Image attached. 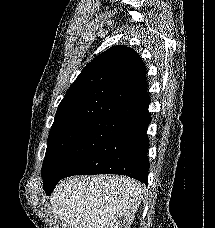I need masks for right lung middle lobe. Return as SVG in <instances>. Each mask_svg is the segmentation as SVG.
I'll return each mask as SVG.
<instances>
[{
	"instance_id": "dd1d6c3e",
	"label": "right lung middle lobe",
	"mask_w": 215,
	"mask_h": 228,
	"mask_svg": "<svg viewBox=\"0 0 215 228\" xmlns=\"http://www.w3.org/2000/svg\"><path fill=\"white\" fill-rule=\"evenodd\" d=\"M126 126L123 121L96 118L49 133L41 171L46 194L52 193L71 168Z\"/></svg>"
}]
</instances>
